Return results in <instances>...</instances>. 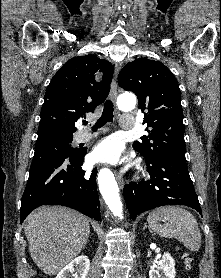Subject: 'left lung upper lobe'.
<instances>
[{
  "instance_id": "left-lung-upper-lobe-1",
  "label": "left lung upper lobe",
  "mask_w": 221,
  "mask_h": 278,
  "mask_svg": "<svg viewBox=\"0 0 221 278\" xmlns=\"http://www.w3.org/2000/svg\"><path fill=\"white\" fill-rule=\"evenodd\" d=\"M118 84L132 91L144 112L147 135L133 147L146 161L170 152L185 153L181 92L172 72L161 62L139 58L119 73ZM149 128V129H148Z\"/></svg>"
}]
</instances>
